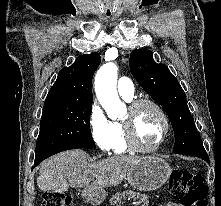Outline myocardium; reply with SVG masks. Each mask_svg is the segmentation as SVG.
I'll return each instance as SVG.
<instances>
[{
	"label": "myocardium",
	"mask_w": 221,
	"mask_h": 206,
	"mask_svg": "<svg viewBox=\"0 0 221 206\" xmlns=\"http://www.w3.org/2000/svg\"><path fill=\"white\" fill-rule=\"evenodd\" d=\"M144 105H149V106L153 107L158 112V114L160 115L161 120L163 122L162 134L155 145H153L151 147H144L139 144V142L136 138V135H135L132 119L123 120L122 125L124 128L126 141H127V144L129 146L130 150H133V151L139 152V153H152V152L158 150L165 142V140L169 134L170 124H169L168 117H167L165 111L163 110V108L161 107V105L152 99L143 98V99L134 100L130 103L128 110L130 113H133L138 108H140L141 106H144Z\"/></svg>",
	"instance_id": "myocardium-1"
}]
</instances>
